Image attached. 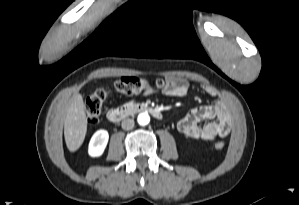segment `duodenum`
Instances as JSON below:
<instances>
[{
    "label": "duodenum",
    "instance_id": "duodenum-1",
    "mask_svg": "<svg viewBox=\"0 0 299 205\" xmlns=\"http://www.w3.org/2000/svg\"><path fill=\"white\" fill-rule=\"evenodd\" d=\"M136 113H148L157 119L162 118L160 110L147 104H127L112 108L107 112V118L111 122H119Z\"/></svg>",
    "mask_w": 299,
    "mask_h": 205
}]
</instances>
